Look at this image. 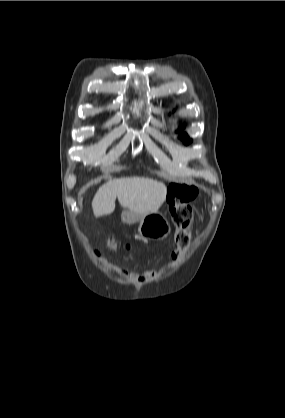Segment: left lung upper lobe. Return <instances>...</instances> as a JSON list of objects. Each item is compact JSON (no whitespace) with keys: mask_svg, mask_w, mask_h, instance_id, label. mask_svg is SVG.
<instances>
[{"mask_svg":"<svg viewBox=\"0 0 285 418\" xmlns=\"http://www.w3.org/2000/svg\"><path fill=\"white\" fill-rule=\"evenodd\" d=\"M180 139L184 140L186 145L191 142V139H189L188 135L186 133L180 134Z\"/></svg>","mask_w":285,"mask_h":418,"instance_id":"1","label":"left lung upper lobe"}]
</instances>
